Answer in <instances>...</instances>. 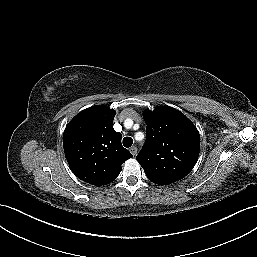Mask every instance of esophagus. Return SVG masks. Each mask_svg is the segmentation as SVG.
I'll return each instance as SVG.
<instances>
[{
  "label": "esophagus",
  "instance_id": "esophagus-1",
  "mask_svg": "<svg viewBox=\"0 0 257 257\" xmlns=\"http://www.w3.org/2000/svg\"><path fill=\"white\" fill-rule=\"evenodd\" d=\"M130 152H131V154H132L133 156H135V155L137 154V148H136L135 146H132V147L130 148Z\"/></svg>",
  "mask_w": 257,
  "mask_h": 257
}]
</instances>
